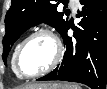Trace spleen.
Returning <instances> with one entry per match:
<instances>
[{"mask_svg":"<svg viewBox=\"0 0 107 89\" xmlns=\"http://www.w3.org/2000/svg\"><path fill=\"white\" fill-rule=\"evenodd\" d=\"M65 89H81L77 84H65Z\"/></svg>","mask_w":107,"mask_h":89,"instance_id":"3e777b00","label":"spleen"}]
</instances>
